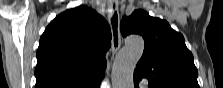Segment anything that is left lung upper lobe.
Masks as SVG:
<instances>
[{"label": "left lung upper lobe", "instance_id": "obj_1", "mask_svg": "<svg viewBox=\"0 0 223 88\" xmlns=\"http://www.w3.org/2000/svg\"><path fill=\"white\" fill-rule=\"evenodd\" d=\"M123 36L139 34L144 39V52L134 70V85L142 78L148 88H200L193 55L187 49L182 34L169 23L135 10L121 21Z\"/></svg>", "mask_w": 223, "mask_h": 88}]
</instances>
